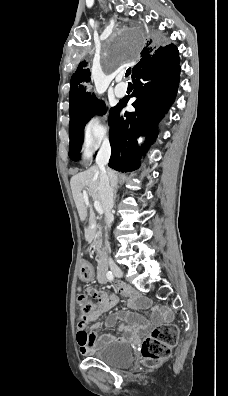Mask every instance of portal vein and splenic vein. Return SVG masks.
I'll list each match as a JSON object with an SVG mask.
<instances>
[{"label": "portal vein and splenic vein", "mask_w": 228, "mask_h": 396, "mask_svg": "<svg viewBox=\"0 0 228 396\" xmlns=\"http://www.w3.org/2000/svg\"><path fill=\"white\" fill-rule=\"evenodd\" d=\"M83 196L84 198L87 200L88 199V192L87 191H83ZM94 207L97 210V212L101 215L102 214V207L99 201H95L94 202Z\"/></svg>", "instance_id": "portal-vein-and-splenic-vein-1"}]
</instances>
